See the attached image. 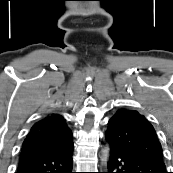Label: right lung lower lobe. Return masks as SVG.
I'll return each mask as SVG.
<instances>
[{
    "instance_id": "98d812e1",
    "label": "right lung lower lobe",
    "mask_w": 173,
    "mask_h": 173,
    "mask_svg": "<svg viewBox=\"0 0 173 173\" xmlns=\"http://www.w3.org/2000/svg\"><path fill=\"white\" fill-rule=\"evenodd\" d=\"M73 144L48 153L20 158L15 173H73Z\"/></svg>"
}]
</instances>
